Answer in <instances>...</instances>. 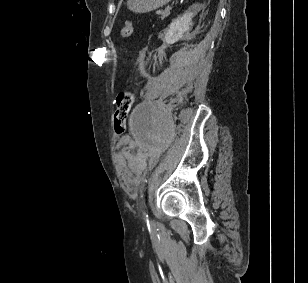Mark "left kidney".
I'll return each mask as SVG.
<instances>
[{"instance_id":"obj_1","label":"left kidney","mask_w":308,"mask_h":283,"mask_svg":"<svg viewBox=\"0 0 308 283\" xmlns=\"http://www.w3.org/2000/svg\"><path fill=\"white\" fill-rule=\"evenodd\" d=\"M198 9H200V5L196 4L184 13L183 16L174 19L165 32L163 41L167 44H173L181 39L184 33H187L191 29L193 24L192 18Z\"/></svg>"}]
</instances>
